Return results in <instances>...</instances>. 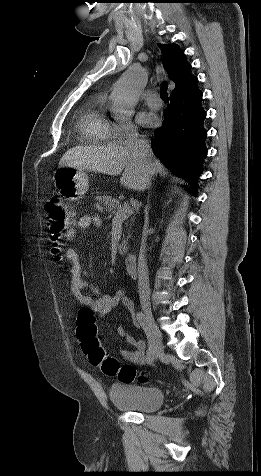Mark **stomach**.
I'll list each match as a JSON object with an SVG mask.
<instances>
[{
	"instance_id": "stomach-1",
	"label": "stomach",
	"mask_w": 261,
	"mask_h": 476,
	"mask_svg": "<svg viewBox=\"0 0 261 476\" xmlns=\"http://www.w3.org/2000/svg\"><path fill=\"white\" fill-rule=\"evenodd\" d=\"M54 183L68 200L75 201L82 197L89 188V179L83 169L61 167L54 172Z\"/></svg>"
}]
</instances>
